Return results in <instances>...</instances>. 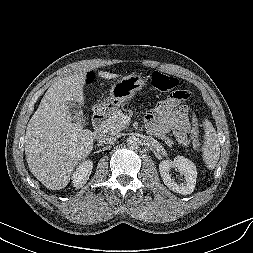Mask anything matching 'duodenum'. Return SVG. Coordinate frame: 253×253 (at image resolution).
I'll return each mask as SVG.
<instances>
[{
	"instance_id": "duodenum-1",
	"label": "duodenum",
	"mask_w": 253,
	"mask_h": 253,
	"mask_svg": "<svg viewBox=\"0 0 253 253\" xmlns=\"http://www.w3.org/2000/svg\"><path fill=\"white\" fill-rule=\"evenodd\" d=\"M106 115L103 111L95 112L92 120L93 128L96 136H101L105 130Z\"/></svg>"
}]
</instances>
